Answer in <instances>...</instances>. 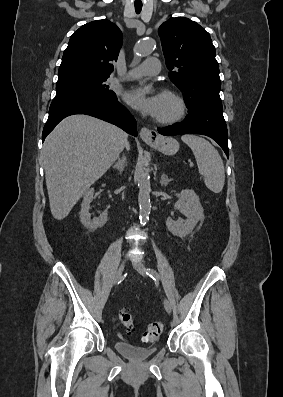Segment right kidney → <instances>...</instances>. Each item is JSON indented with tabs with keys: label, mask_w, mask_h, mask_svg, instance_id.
Segmentation results:
<instances>
[{
	"label": "right kidney",
	"mask_w": 283,
	"mask_h": 397,
	"mask_svg": "<svg viewBox=\"0 0 283 397\" xmlns=\"http://www.w3.org/2000/svg\"><path fill=\"white\" fill-rule=\"evenodd\" d=\"M93 194H94L93 188L85 192L80 211L81 223L84 225V227L90 230H96L98 228L103 227L108 220L107 211H104L98 217L91 219V216L89 214V208H90L89 205L93 199Z\"/></svg>",
	"instance_id": "ca27d5eb"
}]
</instances>
